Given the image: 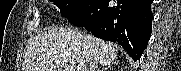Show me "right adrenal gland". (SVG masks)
I'll return each mask as SVG.
<instances>
[{
  "label": "right adrenal gland",
  "instance_id": "2a0ac1e0",
  "mask_svg": "<svg viewBox=\"0 0 181 71\" xmlns=\"http://www.w3.org/2000/svg\"><path fill=\"white\" fill-rule=\"evenodd\" d=\"M111 65H108V66H105L103 69H102V71H107V70H109V69H111Z\"/></svg>",
  "mask_w": 181,
  "mask_h": 71
}]
</instances>
